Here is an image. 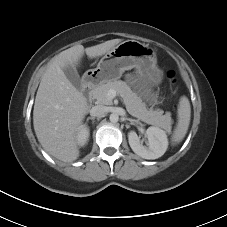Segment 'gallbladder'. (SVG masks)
I'll use <instances>...</instances> for the list:
<instances>
[{
	"label": "gallbladder",
	"mask_w": 227,
	"mask_h": 227,
	"mask_svg": "<svg viewBox=\"0 0 227 227\" xmlns=\"http://www.w3.org/2000/svg\"><path fill=\"white\" fill-rule=\"evenodd\" d=\"M63 71L68 78V80L78 89L81 90L82 83L80 76L75 67L68 65L67 67L63 68Z\"/></svg>",
	"instance_id": "obj_1"
}]
</instances>
